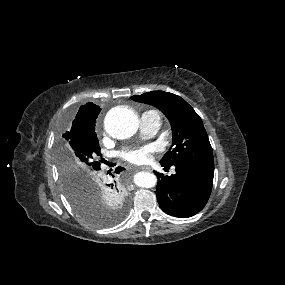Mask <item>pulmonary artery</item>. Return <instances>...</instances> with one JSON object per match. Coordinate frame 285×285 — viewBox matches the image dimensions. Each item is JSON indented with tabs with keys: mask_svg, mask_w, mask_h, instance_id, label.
Listing matches in <instances>:
<instances>
[{
	"mask_svg": "<svg viewBox=\"0 0 285 285\" xmlns=\"http://www.w3.org/2000/svg\"><path fill=\"white\" fill-rule=\"evenodd\" d=\"M141 131L146 136L155 135L161 126V115L158 111L149 110L141 115Z\"/></svg>",
	"mask_w": 285,
	"mask_h": 285,
	"instance_id": "1",
	"label": "pulmonary artery"
}]
</instances>
